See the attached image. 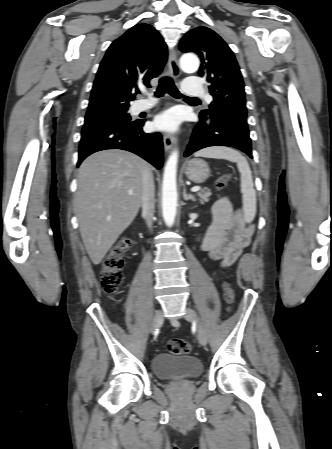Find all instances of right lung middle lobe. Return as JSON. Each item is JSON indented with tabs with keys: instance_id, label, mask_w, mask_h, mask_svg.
<instances>
[{
	"instance_id": "right-lung-middle-lobe-1",
	"label": "right lung middle lobe",
	"mask_w": 332,
	"mask_h": 449,
	"mask_svg": "<svg viewBox=\"0 0 332 449\" xmlns=\"http://www.w3.org/2000/svg\"><path fill=\"white\" fill-rule=\"evenodd\" d=\"M110 122H131V117L128 114V107L117 109H106L87 113L85 116L84 127Z\"/></svg>"
}]
</instances>
